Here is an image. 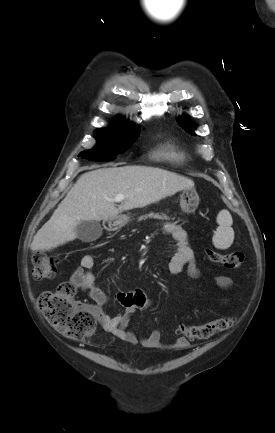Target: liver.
<instances>
[{
  "label": "liver",
  "instance_id": "1",
  "mask_svg": "<svg viewBox=\"0 0 275 433\" xmlns=\"http://www.w3.org/2000/svg\"><path fill=\"white\" fill-rule=\"evenodd\" d=\"M194 182L176 173L147 166H123L89 171L80 176L53 215L36 233L32 251H49L77 238L83 221L113 219L123 211L142 208L191 189ZM124 195L121 205L110 201Z\"/></svg>",
  "mask_w": 275,
  "mask_h": 433
}]
</instances>
